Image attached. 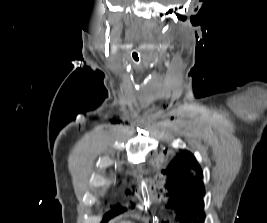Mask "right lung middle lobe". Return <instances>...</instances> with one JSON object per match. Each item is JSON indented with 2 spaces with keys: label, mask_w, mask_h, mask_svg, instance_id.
Returning a JSON list of instances; mask_svg holds the SVG:
<instances>
[{
  "label": "right lung middle lobe",
  "mask_w": 267,
  "mask_h": 223,
  "mask_svg": "<svg viewBox=\"0 0 267 223\" xmlns=\"http://www.w3.org/2000/svg\"><path fill=\"white\" fill-rule=\"evenodd\" d=\"M124 210H125L124 208H121V207H119V206L117 205V206L114 207V212H113V213H111V212L106 213V215H105V219H108V218H110V217H113V216H115L116 214H119L120 212H123Z\"/></svg>",
  "instance_id": "1"
}]
</instances>
